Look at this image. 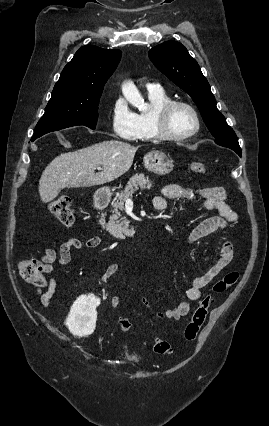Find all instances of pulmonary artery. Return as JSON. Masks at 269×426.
Segmentation results:
<instances>
[{"label":"pulmonary artery","mask_w":269,"mask_h":426,"mask_svg":"<svg viewBox=\"0 0 269 426\" xmlns=\"http://www.w3.org/2000/svg\"><path fill=\"white\" fill-rule=\"evenodd\" d=\"M147 89L148 91H154V92L162 91V87L159 84H155V83L148 84Z\"/></svg>","instance_id":"1"}]
</instances>
